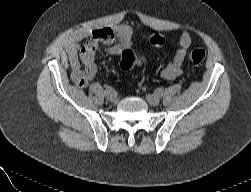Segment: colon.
<instances>
[{"label":"colon","instance_id":"1","mask_svg":"<svg viewBox=\"0 0 251 192\" xmlns=\"http://www.w3.org/2000/svg\"><path fill=\"white\" fill-rule=\"evenodd\" d=\"M151 45L155 47H161L165 44V39L160 34H154L149 39ZM206 51L201 48H197L191 51L189 59L193 64L199 65L203 63L206 58ZM144 62L142 57L137 56L132 50L126 49L121 53L120 65L123 69L129 70L136 65Z\"/></svg>","mask_w":251,"mask_h":192}]
</instances>
